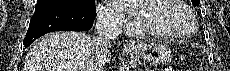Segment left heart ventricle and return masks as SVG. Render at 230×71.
<instances>
[{
  "label": "left heart ventricle",
  "instance_id": "1",
  "mask_svg": "<svg viewBox=\"0 0 230 71\" xmlns=\"http://www.w3.org/2000/svg\"><path fill=\"white\" fill-rule=\"evenodd\" d=\"M142 5L146 21L155 29L182 34L191 28L188 13L173 0L145 1Z\"/></svg>",
  "mask_w": 230,
  "mask_h": 71
}]
</instances>
